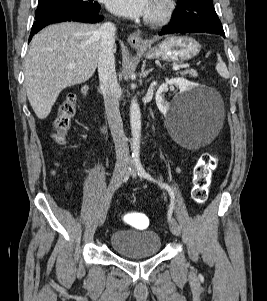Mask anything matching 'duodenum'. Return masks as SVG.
Returning a JSON list of instances; mask_svg holds the SVG:
<instances>
[{
	"instance_id": "duodenum-1",
	"label": "duodenum",
	"mask_w": 267,
	"mask_h": 301,
	"mask_svg": "<svg viewBox=\"0 0 267 301\" xmlns=\"http://www.w3.org/2000/svg\"><path fill=\"white\" fill-rule=\"evenodd\" d=\"M82 93H83L84 96H87V94H88V87L87 86H84L82 88Z\"/></svg>"
}]
</instances>
